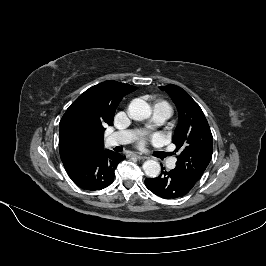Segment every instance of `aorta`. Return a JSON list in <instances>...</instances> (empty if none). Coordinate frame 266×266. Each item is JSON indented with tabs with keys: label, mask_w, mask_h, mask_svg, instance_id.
Here are the masks:
<instances>
[{
	"label": "aorta",
	"mask_w": 266,
	"mask_h": 266,
	"mask_svg": "<svg viewBox=\"0 0 266 266\" xmlns=\"http://www.w3.org/2000/svg\"><path fill=\"white\" fill-rule=\"evenodd\" d=\"M128 114L130 118L136 121H142L150 117V106L141 99H134L129 107ZM143 170L150 178H155L160 174V164L155 160H147L143 163Z\"/></svg>",
	"instance_id": "762f6f07"
}]
</instances>
